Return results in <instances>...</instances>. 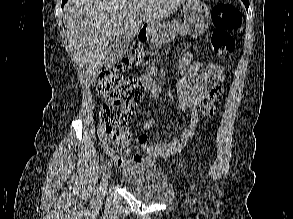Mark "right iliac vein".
Instances as JSON below:
<instances>
[{"instance_id":"63e3f726","label":"right iliac vein","mask_w":293,"mask_h":219,"mask_svg":"<svg viewBox=\"0 0 293 219\" xmlns=\"http://www.w3.org/2000/svg\"><path fill=\"white\" fill-rule=\"evenodd\" d=\"M111 171L110 169L105 170L102 177V183H101V192L104 193L106 191V188L108 186V182L110 179Z\"/></svg>"}]
</instances>
